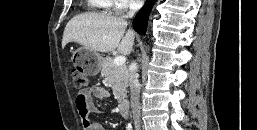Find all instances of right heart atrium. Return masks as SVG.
Wrapping results in <instances>:
<instances>
[{
    "label": "right heart atrium",
    "instance_id": "right-heart-atrium-1",
    "mask_svg": "<svg viewBox=\"0 0 257 130\" xmlns=\"http://www.w3.org/2000/svg\"><path fill=\"white\" fill-rule=\"evenodd\" d=\"M112 8L124 10L133 7L139 3V0H111Z\"/></svg>",
    "mask_w": 257,
    "mask_h": 130
}]
</instances>
